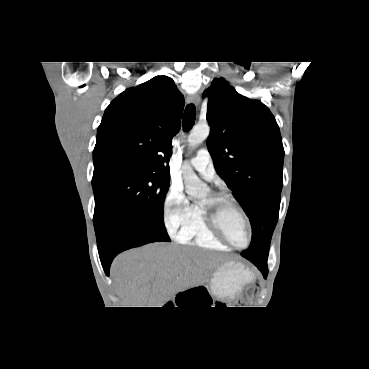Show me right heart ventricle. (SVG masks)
<instances>
[{"mask_svg":"<svg viewBox=\"0 0 369 369\" xmlns=\"http://www.w3.org/2000/svg\"><path fill=\"white\" fill-rule=\"evenodd\" d=\"M178 238L209 249L228 250V246L219 241L208 229L200 205H193L191 219Z\"/></svg>","mask_w":369,"mask_h":369,"instance_id":"e07e8e85","label":"right heart ventricle"}]
</instances>
